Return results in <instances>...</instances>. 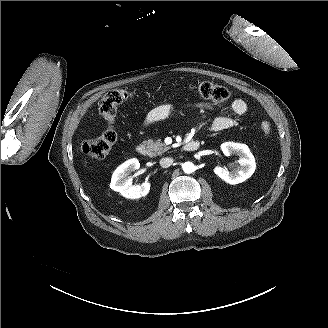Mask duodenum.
Masks as SVG:
<instances>
[{
	"label": "duodenum",
	"mask_w": 328,
	"mask_h": 328,
	"mask_svg": "<svg viewBox=\"0 0 328 328\" xmlns=\"http://www.w3.org/2000/svg\"><path fill=\"white\" fill-rule=\"evenodd\" d=\"M199 145H200L199 141H197V140H191V141L186 142L183 145V150L184 151H187V152L196 151L199 148ZM136 152L139 155H141V156H147L148 149H147V147L144 144H139L136 147Z\"/></svg>",
	"instance_id": "410a0bca"
}]
</instances>
